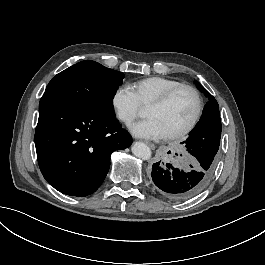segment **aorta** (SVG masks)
<instances>
[{
  "label": "aorta",
  "instance_id": "aorta-1",
  "mask_svg": "<svg viewBox=\"0 0 265 265\" xmlns=\"http://www.w3.org/2000/svg\"><path fill=\"white\" fill-rule=\"evenodd\" d=\"M139 116L142 117V115H139ZM132 152L137 158L143 161L150 160L152 156L151 149L146 144L140 143V142L134 143L132 147Z\"/></svg>",
  "mask_w": 265,
  "mask_h": 265
}]
</instances>
